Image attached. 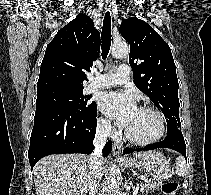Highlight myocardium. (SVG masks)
I'll return each instance as SVG.
<instances>
[{"instance_id": "1", "label": "myocardium", "mask_w": 211, "mask_h": 195, "mask_svg": "<svg viewBox=\"0 0 211 195\" xmlns=\"http://www.w3.org/2000/svg\"><path fill=\"white\" fill-rule=\"evenodd\" d=\"M138 109H141V110H147V111H151L153 112L158 118H159V121H160V131L159 133L152 137V138H149V139H138L136 137H134L129 131L127 128H125V131H124V134H125V137L132 143L134 144H137V145H150V144H153V143H156L158 142L160 139H162L166 133V129H167V125H166V119L163 115V113L157 109L156 107H153V106H150V105H143V106H140Z\"/></svg>"}]
</instances>
